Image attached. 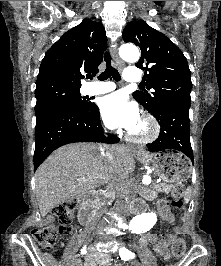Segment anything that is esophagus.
I'll return each instance as SVG.
<instances>
[{
    "label": "esophagus",
    "instance_id": "esophagus-1",
    "mask_svg": "<svg viewBox=\"0 0 221 266\" xmlns=\"http://www.w3.org/2000/svg\"><path fill=\"white\" fill-rule=\"evenodd\" d=\"M110 52H111V55H112L113 60L115 61V64H116L117 68L121 71L124 68V63L119 58L116 47L113 46L110 49ZM138 153H143V150L142 149H139L138 150Z\"/></svg>",
    "mask_w": 221,
    "mask_h": 266
}]
</instances>
